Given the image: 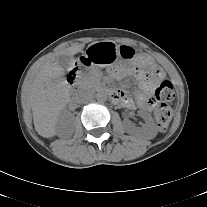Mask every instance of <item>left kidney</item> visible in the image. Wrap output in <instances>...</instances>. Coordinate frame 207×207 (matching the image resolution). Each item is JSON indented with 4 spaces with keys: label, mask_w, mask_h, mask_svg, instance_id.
Listing matches in <instances>:
<instances>
[{
    "label": "left kidney",
    "mask_w": 207,
    "mask_h": 207,
    "mask_svg": "<svg viewBox=\"0 0 207 207\" xmlns=\"http://www.w3.org/2000/svg\"><path fill=\"white\" fill-rule=\"evenodd\" d=\"M138 114L144 119V126L141 129L137 130L131 123L126 122V131L131 135H136L139 133L146 139H153L157 135V126L152 116L144 111H139Z\"/></svg>",
    "instance_id": "obj_1"
}]
</instances>
